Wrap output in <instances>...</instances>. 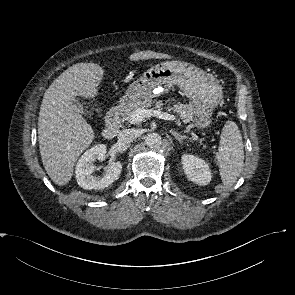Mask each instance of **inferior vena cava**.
<instances>
[{
  "label": "inferior vena cava",
  "mask_w": 295,
  "mask_h": 295,
  "mask_svg": "<svg viewBox=\"0 0 295 295\" xmlns=\"http://www.w3.org/2000/svg\"><path fill=\"white\" fill-rule=\"evenodd\" d=\"M139 130L138 129H125L121 130L118 134V140L122 143H129L134 141L139 137Z\"/></svg>",
  "instance_id": "602c4592"
}]
</instances>
